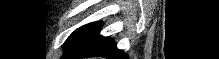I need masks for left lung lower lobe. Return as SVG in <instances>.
Segmentation results:
<instances>
[{"label": "left lung lower lobe", "instance_id": "obj_1", "mask_svg": "<svg viewBox=\"0 0 219 59\" xmlns=\"http://www.w3.org/2000/svg\"><path fill=\"white\" fill-rule=\"evenodd\" d=\"M101 26V23H98L92 33L66 59L98 56L107 59H128V56L116 47V43L111 38L99 35Z\"/></svg>", "mask_w": 219, "mask_h": 59}]
</instances>
